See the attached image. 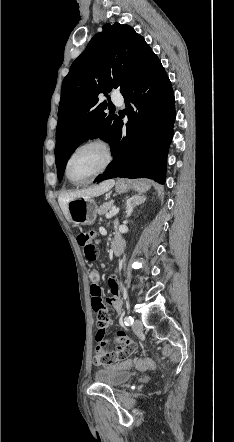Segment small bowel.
<instances>
[{"mask_svg":"<svg viewBox=\"0 0 234 442\" xmlns=\"http://www.w3.org/2000/svg\"><path fill=\"white\" fill-rule=\"evenodd\" d=\"M108 287L112 296L107 299V304L115 313H120L122 310V302L119 299L121 283L116 275H111L108 278ZM94 320V325L97 328L95 331V340L97 342L95 363L97 365H105L106 367H110L117 361L121 362L128 359L129 356L135 355L137 344L127 341L129 338L124 332H117L116 341L119 342L118 344L113 345L112 341L104 338L106 329L112 323L109 314H96Z\"/></svg>","mask_w":234,"mask_h":442,"instance_id":"c3829d8e","label":"small bowel"}]
</instances>
